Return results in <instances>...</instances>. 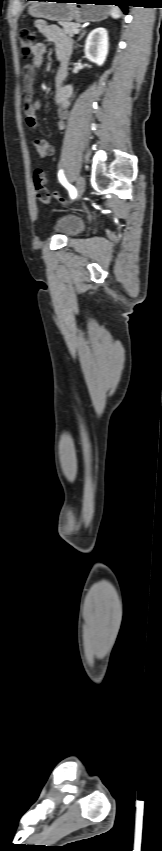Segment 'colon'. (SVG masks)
Instances as JSON below:
<instances>
[{"label":"colon","instance_id":"1","mask_svg":"<svg viewBox=\"0 0 162 851\" xmlns=\"http://www.w3.org/2000/svg\"><path fill=\"white\" fill-rule=\"evenodd\" d=\"M19 42H20V52L24 58L30 57L33 54V50L36 43V34L33 30L24 28L20 31L19 34ZM33 184L35 188V193L38 199H40L43 203H49L51 197L56 198L60 202H66L65 198L61 196V194L57 191L51 192L47 188V180L42 169H36L33 172Z\"/></svg>","mask_w":162,"mask_h":851}]
</instances>
